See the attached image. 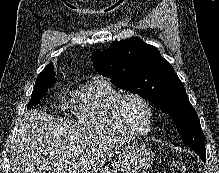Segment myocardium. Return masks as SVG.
Listing matches in <instances>:
<instances>
[{
	"label": "myocardium",
	"mask_w": 219,
	"mask_h": 173,
	"mask_svg": "<svg viewBox=\"0 0 219 173\" xmlns=\"http://www.w3.org/2000/svg\"><path fill=\"white\" fill-rule=\"evenodd\" d=\"M137 99L142 102L149 112V121L147 128L144 131H136L129 128L122 119V106L127 99ZM111 117L117 128L122 131L124 134L132 137H145L148 136L152 130L155 121V110L152 103L143 95L136 92H126L120 94L111 104Z\"/></svg>",
	"instance_id": "f54148a6"
}]
</instances>
